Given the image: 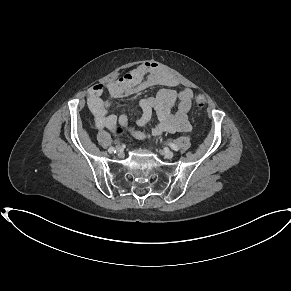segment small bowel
Instances as JSON below:
<instances>
[{
	"mask_svg": "<svg viewBox=\"0 0 291 291\" xmlns=\"http://www.w3.org/2000/svg\"><path fill=\"white\" fill-rule=\"evenodd\" d=\"M156 85H163L167 88L162 89L154 97L139 100L142 114L136 121L137 125H146L153 111L157 114L158 121L149 133L132 128L126 115H121L117 119L115 114L110 113L114 100L135 96L141 90ZM177 85L178 80L170 72L156 63H145L107 85L92 86L88 90L87 104L98 128L114 131L118 121L138 140H145L163 133L188 132L191 130L188 112L191 107L192 90L185 87L176 91L173 87ZM104 90L109 94L108 100L101 98ZM176 104L177 110L173 112Z\"/></svg>",
	"mask_w": 291,
	"mask_h": 291,
	"instance_id": "1",
	"label": "small bowel"
}]
</instances>
